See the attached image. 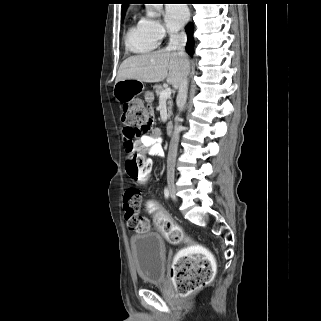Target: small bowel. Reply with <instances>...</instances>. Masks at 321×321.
Here are the masks:
<instances>
[{
  "mask_svg": "<svg viewBox=\"0 0 321 321\" xmlns=\"http://www.w3.org/2000/svg\"><path fill=\"white\" fill-rule=\"evenodd\" d=\"M147 101L151 97H146ZM123 147L127 153L136 152L139 154H149L151 156H162V138L159 128H154L149 134L143 135L140 138L132 136L125 128L122 136Z\"/></svg>",
  "mask_w": 321,
  "mask_h": 321,
  "instance_id": "obj_1",
  "label": "small bowel"
}]
</instances>
